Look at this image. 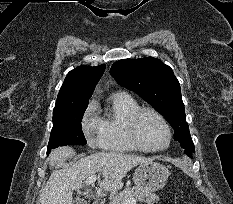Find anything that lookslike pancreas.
<instances>
[{
  "label": "pancreas",
  "mask_w": 233,
  "mask_h": 204,
  "mask_svg": "<svg viewBox=\"0 0 233 204\" xmlns=\"http://www.w3.org/2000/svg\"><path fill=\"white\" fill-rule=\"evenodd\" d=\"M128 199H135L136 201L145 202L147 204H154V202L159 200L158 196L153 191L135 186L132 188H125L109 204H123L124 201Z\"/></svg>",
  "instance_id": "1"
}]
</instances>
